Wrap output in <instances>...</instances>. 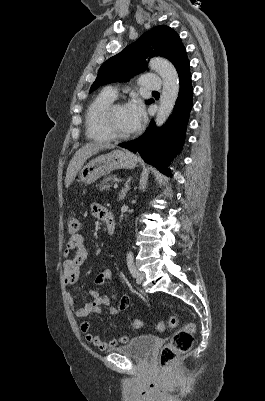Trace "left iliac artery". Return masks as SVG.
I'll use <instances>...</instances> for the list:
<instances>
[{"label":"left iliac artery","instance_id":"1","mask_svg":"<svg viewBox=\"0 0 265 401\" xmlns=\"http://www.w3.org/2000/svg\"><path fill=\"white\" fill-rule=\"evenodd\" d=\"M127 266H128V269H129L131 275H132L133 277H136V275H137V270H136V268H135V265H134V258H133L132 255H129V256L127 257Z\"/></svg>","mask_w":265,"mask_h":401}]
</instances>
